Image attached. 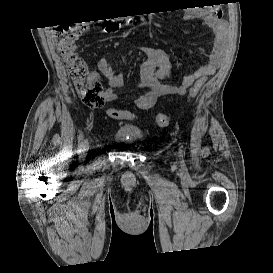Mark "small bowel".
Here are the masks:
<instances>
[{
	"instance_id": "c3829d8e",
	"label": "small bowel",
	"mask_w": 273,
	"mask_h": 273,
	"mask_svg": "<svg viewBox=\"0 0 273 273\" xmlns=\"http://www.w3.org/2000/svg\"><path fill=\"white\" fill-rule=\"evenodd\" d=\"M184 18L201 19L212 30L214 40L213 48L208 53V63L195 72L185 75L178 85H172L165 82L174 78V66L167 51L163 48L141 45L139 49L145 55V59L140 66L138 88L146 91L134 100L139 109H152L162 96L184 95L196 80L214 74L225 60L228 45V24L222 18L221 10L218 7L188 9ZM98 68L100 74L108 80L109 84V87L104 91V99L108 102H117L119 97L115 89L123 85V74L116 72L105 56L100 57ZM95 76L99 77V74ZM133 117V113L125 110L123 119Z\"/></svg>"
}]
</instances>
